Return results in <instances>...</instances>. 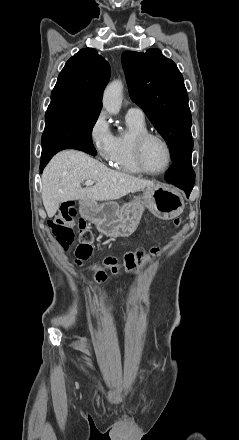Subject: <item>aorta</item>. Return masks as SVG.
I'll use <instances>...</instances> for the list:
<instances>
[{"label": "aorta", "instance_id": "aorta-1", "mask_svg": "<svg viewBox=\"0 0 239 440\" xmlns=\"http://www.w3.org/2000/svg\"><path fill=\"white\" fill-rule=\"evenodd\" d=\"M123 100V84L120 80H114L108 84L103 94V108L109 114H119Z\"/></svg>", "mask_w": 239, "mask_h": 440}]
</instances>
